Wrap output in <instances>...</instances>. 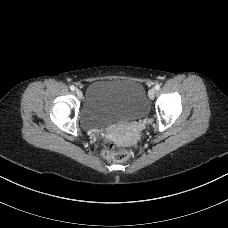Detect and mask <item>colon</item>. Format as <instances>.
<instances>
[{"instance_id": "5ec220e1", "label": "colon", "mask_w": 228, "mask_h": 228, "mask_svg": "<svg viewBox=\"0 0 228 228\" xmlns=\"http://www.w3.org/2000/svg\"><path fill=\"white\" fill-rule=\"evenodd\" d=\"M103 156L106 159L123 161L130 159L133 156V152L129 149L119 146L113 140H107L104 143Z\"/></svg>"}]
</instances>
